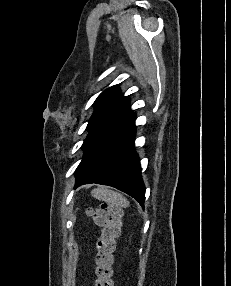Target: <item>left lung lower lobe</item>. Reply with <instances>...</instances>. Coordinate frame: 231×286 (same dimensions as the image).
I'll return each instance as SVG.
<instances>
[{
    "label": "left lung lower lobe",
    "mask_w": 231,
    "mask_h": 286,
    "mask_svg": "<svg viewBox=\"0 0 231 286\" xmlns=\"http://www.w3.org/2000/svg\"><path fill=\"white\" fill-rule=\"evenodd\" d=\"M134 120L127 100L90 129L82 146L83 159L75 172L76 186L109 185L129 194L144 207L145 186L139 157L133 150Z\"/></svg>",
    "instance_id": "1"
}]
</instances>
